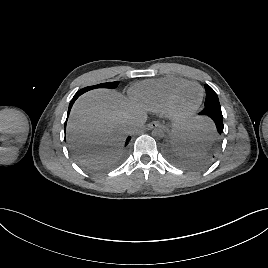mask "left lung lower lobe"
Wrapping results in <instances>:
<instances>
[{
  "label": "left lung lower lobe",
  "mask_w": 268,
  "mask_h": 268,
  "mask_svg": "<svg viewBox=\"0 0 268 268\" xmlns=\"http://www.w3.org/2000/svg\"><path fill=\"white\" fill-rule=\"evenodd\" d=\"M200 115L208 116L209 118H211L213 120V122L215 123V125L219 131V136L223 133L224 125H223V115H222L221 108L205 107L200 112ZM219 136H218V138H219ZM218 138H217V140H218Z\"/></svg>",
  "instance_id": "1"
}]
</instances>
